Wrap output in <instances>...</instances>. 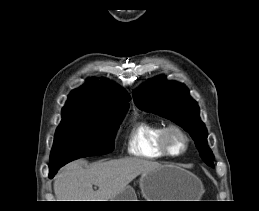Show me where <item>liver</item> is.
Listing matches in <instances>:
<instances>
[{"label":"liver","instance_id":"1","mask_svg":"<svg viewBox=\"0 0 259 211\" xmlns=\"http://www.w3.org/2000/svg\"><path fill=\"white\" fill-rule=\"evenodd\" d=\"M85 161L67 164L53 184L57 201H111L138 175L162 165L140 158L99 161L84 167ZM93 185L98 190H93Z\"/></svg>","mask_w":259,"mask_h":211}]
</instances>
